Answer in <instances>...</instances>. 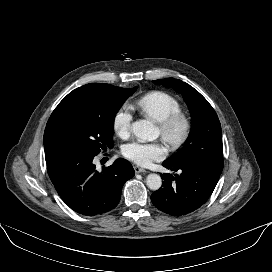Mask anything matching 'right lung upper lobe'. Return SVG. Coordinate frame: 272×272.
Here are the masks:
<instances>
[{
    "mask_svg": "<svg viewBox=\"0 0 272 272\" xmlns=\"http://www.w3.org/2000/svg\"><path fill=\"white\" fill-rule=\"evenodd\" d=\"M121 87L103 83H90L70 92L52 112L49 120L64 114L84 113L99 110L106 95L120 92Z\"/></svg>",
    "mask_w": 272,
    "mask_h": 272,
    "instance_id": "cb5924a9",
    "label": "right lung upper lobe"
}]
</instances>
